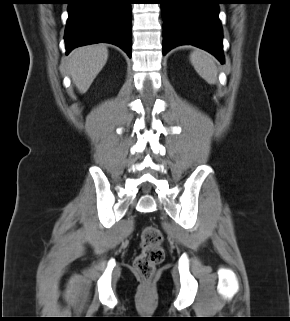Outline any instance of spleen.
Segmentation results:
<instances>
[{
  "label": "spleen",
  "mask_w": 290,
  "mask_h": 321,
  "mask_svg": "<svg viewBox=\"0 0 290 321\" xmlns=\"http://www.w3.org/2000/svg\"><path fill=\"white\" fill-rule=\"evenodd\" d=\"M190 61L197 73L209 84L217 82V66L215 58L202 50H195L190 55Z\"/></svg>",
  "instance_id": "1"
}]
</instances>
